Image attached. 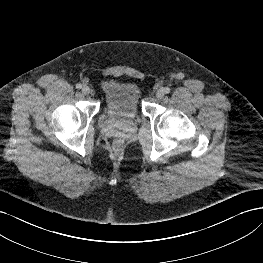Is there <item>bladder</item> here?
<instances>
[{
    "label": "bladder",
    "mask_w": 263,
    "mask_h": 263,
    "mask_svg": "<svg viewBox=\"0 0 263 263\" xmlns=\"http://www.w3.org/2000/svg\"><path fill=\"white\" fill-rule=\"evenodd\" d=\"M104 94V114L116 124L134 122L140 112V85L133 80L107 79L101 85Z\"/></svg>",
    "instance_id": "31cf9c89"
}]
</instances>
